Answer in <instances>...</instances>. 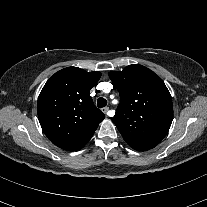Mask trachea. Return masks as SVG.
<instances>
[{"instance_id": "obj_1", "label": "trachea", "mask_w": 207, "mask_h": 207, "mask_svg": "<svg viewBox=\"0 0 207 207\" xmlns=\"http://www.w3.org/2000/svg\"><path fill=\"white\" fill-rule=\"evenodd\" d=\"M107 105V100L103 97H100L98 100H97V106L98 108H102V107H105Z\"/></svg>"}]
</instances>
